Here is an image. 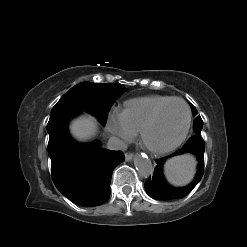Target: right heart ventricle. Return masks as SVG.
<instances>
[{
    "instance_id": "right-heart-ventricle-1",
    "label": "right heart ventricle",
    "mask_w": 247,
    "mask_h": 247,
    "mask_svg": "<svg viewBox=\"0 0 247 247\" xmlns=\"http://www.w3.org/2000/svg\"><path fill=\"white\" fill-rule=\"evenodd\" d=\"M170 98L167 95H148L130 99L125 102L122 113L129 126L139 132L153 111Z\"/></svg>"
}]
</instances>
